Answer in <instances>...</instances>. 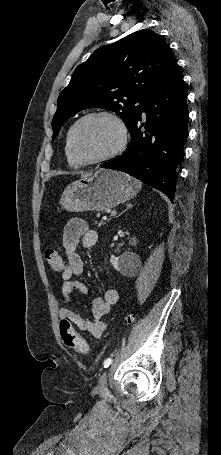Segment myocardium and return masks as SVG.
<instances>
[{
    "label": "myocardium",
    "instance_id": "myocardium-1",
    "mask_svg": "<svg viewBox=\"0 0 221 455\" xmlns=\"http://www.w3.org/2000/svg\"><path fill=\"white\" fill-rule=\"evenodd\" d=\"M93 118H105V119L112 121L115 124V126L117 127L119 141H118L117 145L108 153H106L102 156L96 157V158H85L79 153V151L76 147V134H77V130H78L79 126L83 122H85L89 119H93ZM127 142H128V130H127V126H126L125 122L118 114H116L112 111H108V110H97V111L87 113V114L81 116L73 124V126L70 129V137H69L70 149H71L73 155L75 156V158L83 164H96V163L107 161V160L117 156L118 154H120L125 149Z\"/></svg>",
    "mask_w": 221,
    "mask_h": 455
}]
</instances>
